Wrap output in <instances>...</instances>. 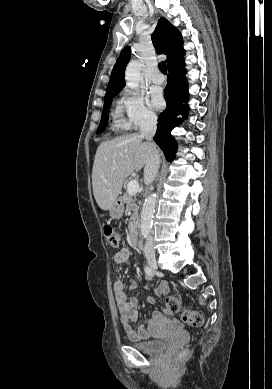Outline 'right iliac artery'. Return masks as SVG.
Instances as JSON below:
<instances>
[{
	"label": "right iliac artery",
	"mask_w": 272,
	"mask_h": 389,
	"mask_svg": "<svg viewBox=\"0 0 272 389\" xmlns=\"http://www.w3.org/2000/svg\"><path fill=\"white\" fill-rule=\"evenodd\" d=\"M144 270H145V273L147 275V279L148 280L151 279L154 276V273H153L152 269L149 268L148 266H145Z\"/></svg>",
	"instance_id": "obj_1"
}]
</instances>
